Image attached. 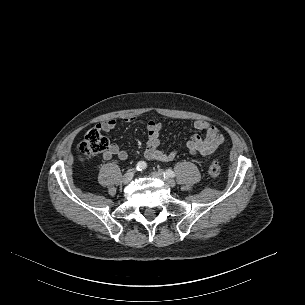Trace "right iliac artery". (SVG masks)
<instances>
[{"instance_id":"82829eb1","label":"right iliac artery","mask_w":305,"mask_h":305,"mask_svg":"<svg viewBox=\"0 0 305 305\" xmlns=\"http://www.w3.org/2000/svg\"><path fill=\"white\" fill-rule=\"evenodd\" d=\"M147 164L144 161H139L136 165V170L137 171H142L144 169H146Z\"/></svg>"}]
</instances>
